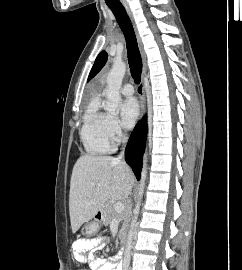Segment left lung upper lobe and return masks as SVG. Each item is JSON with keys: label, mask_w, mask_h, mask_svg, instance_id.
Masks as SVG:
<instances>
[{"label": "left lung upper lobe", "mask_w": 242, "mask_h": 270, "mask_svg": "<svg viewBox=\"0 0 242 270\" xmlns=\"http://www.w3.org/2000/svg\"><path fill=\"white\" fill-rule=\"evenodd\" d=\"M107 60V53L105 51H102L96 58L95 63L91 69V72L89 74L88 80H90L92 77H94L104 66Z\"/></svg>", "instance_id": "obj_1"}]
</instances>
